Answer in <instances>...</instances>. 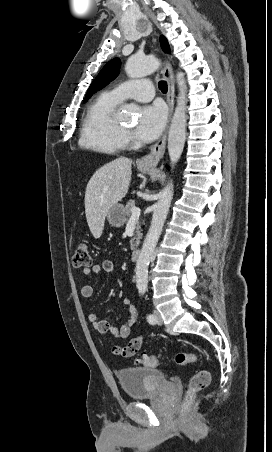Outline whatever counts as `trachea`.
<instances>
[{
    "label": "trachea",
    "instance_id": "1",
    "mask_svg": "<svg viewBox=\"0 0 272 452\" xmlns=\"http://www.w3.org/2000/svg\"><path fill=\"white\" fill-rule=\"evenodd\" d=\"M159 89L162 93H167V83L166 81H160L158 84Z\"/></svg>",
    "mask_w": 272,
    "mask_h": 452
}]
</instances>
